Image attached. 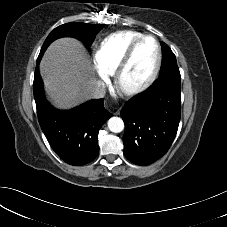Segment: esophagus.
<instances>
[{"mask_svg": "<svg viewBox=\"0 0 227 227\" xmlns=\"http://www.w3.org/2000/svg\"><path fill=\"white\" fill-rule=\"evenodd\" d=\"M114 115H119V110H116V111L114 112Z\"/></svg>", "mask_w": 227, "mask_h": 227, "instance_id": "34e87169", "label": "esophagus"}]
</instances>
